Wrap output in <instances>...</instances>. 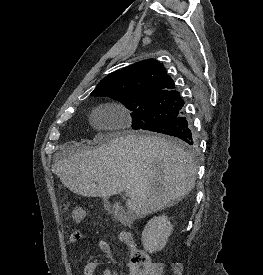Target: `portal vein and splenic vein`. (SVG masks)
<instances>
[{
    "label": "portal vein and splenic vein",
    "instance_id": "18ae733b",
    "mask_svg": "<svg viewBox=\"0 0 263 275\" xmlns=\"http://www.w3.org/2000/svg\"><path fill=\"white\" fill-rule=\"evenodd\" d=\"M127 195H129V192L128 191H125Z\"/></svg>",
    "mask_w": 263,
    "mask_h": 275
}]
</instances>
